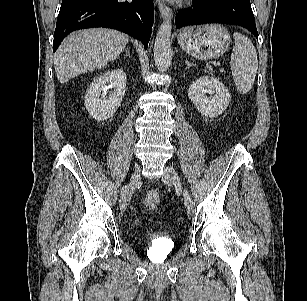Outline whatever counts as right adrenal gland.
Listing matches in <instances>:
<instances>
[{
	"instance_id": "1",
	"label": "right adrenal gland",
	"mask_w": 307,
	"mask_h": 301,
	"mask_svg": "<svg viewBox=\"0 0 307 301\" xmlns=\"http://www.w3.org/2000/svg\"><path fill=\"white\" fill-rule=\"evenodd\" d=\"M126 55H127L128 57H131V56H130V51H129V49L126 50Z\"/></svg>"
}]
</instances>
